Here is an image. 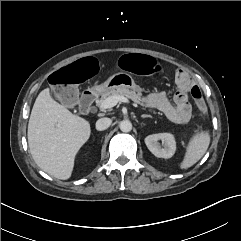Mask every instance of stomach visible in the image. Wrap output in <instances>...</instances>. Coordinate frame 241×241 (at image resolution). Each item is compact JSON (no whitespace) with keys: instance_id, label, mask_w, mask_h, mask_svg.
I'll return each mask as SVG.
<instances>
[{"instance_id":"0dacf381","label":"stomach","mask_w":241,"mask_h":241,"mask_svg":"<svg viewBox=\"0 0 241 241\" xmlns=\"http://www.w3.org/2000/svg\"><path fill=\"white\" fill-rule=\"evenodd\" d=\"M122 87L140 90V88L136 85L133 77L128 72L114 73L102 84L94 85L92 90L96 93H103Z\"/></svg>"}]
</instances>
